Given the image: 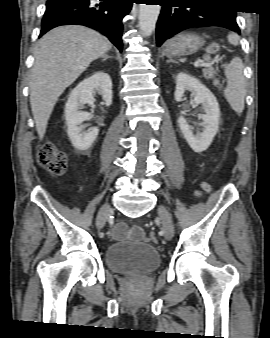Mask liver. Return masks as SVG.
Listing matches in <instances>:
<instances>
[{"instance_id":"liver-1","label":"liver","mask_w":270,"mask_h":338,"mask_svg":"<svg viewBox=\"0 0 270 338\" xmlns=\"http://www.w3.org/2000/svg\"><path fill=\"white\" fill-rule=\"evenodd\" d=\"M111 47L106 37L78 25L57 27L39 40L31 71L30 104L40 139L60 95Z\"/></svg>"}]
</instances>
